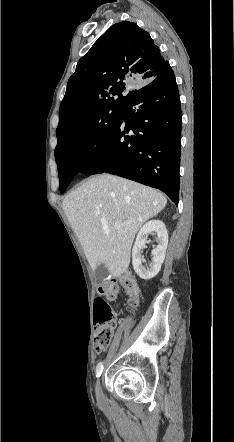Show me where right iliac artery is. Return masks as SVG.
Instances as JSON below:
<instances>
[{"label":"right iliac artery","instance_id":"82829eb1","mask_svg":"<svg viewBox=\"0 0 234 442\" xmlns=\"http://www.w3.org/2000/svg\"><path fill=\"white\" fill-rule=\"evenodd\" d=\"M103 371V364L102 362L98 363L97 367H96V376L100 377V375L102 374Z\"/></svg>","mask_w":234,"mask_h":442}]
</instances>
